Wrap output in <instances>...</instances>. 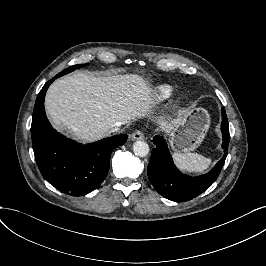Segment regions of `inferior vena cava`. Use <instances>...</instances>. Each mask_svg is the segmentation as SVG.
Wrapping results in <instances>:
<instances>
[{
	"label": "inferior vena cava",
	"instance_id": "1",
	"mask_svg": "<svg viewBox=\"0 0 266 266\" xmlns=\"http://www.w3.org/2000/svg\"><path fill=\"white\" fill-rule=\"evenodd\" d=\"M118 130H119V128L116 126V127L112 128V129H110L108 131V134L113 133V132H117Z\"/></svg>",
	"mask_w": 266,
	"mask_h": 266
}]
</instances>
